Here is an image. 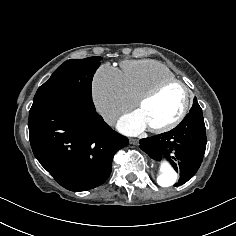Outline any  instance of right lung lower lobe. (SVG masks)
Instances as JSON below:
<instances>
[{"instance_id":"98d812e1","label":"right lung lower lobe","mask_w":236,"mask_h":236,"mask_svg":"<svg viewBox=\"0 0 236 236\" xmlns=\"http://www.w3.org/2000/svg\"><path fill=\"white\" fill-rule=\"evenodd\" d=\"M29 135L40 164L64 188L86 191L109 177L128 139L111 129L93 102H70L29 113Z\"/></svg>"}]
</instances>
